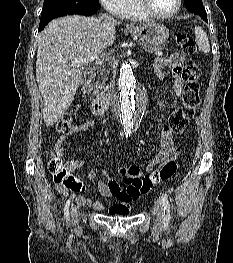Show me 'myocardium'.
Instances as JSON below:
<instances>
[{
	"instance_id": "1",
	"label": "myocardium",
	"mask_w": 233,
	"mask_h": 263,
	"mask_svg": "<svg viewBox=\"0 0 233 263\" xmlns=\"http://www.w3.org/2000/svg\"><path fill=\"white\" fill-rule=\"evenodd\" d=\"M137 6L148 16L156 19H166V18H171L174 15H176L182 5V0H176V6L175 8L168 13H158L155 12L150 5L148 4L147 0H136Z\"/></svg>"
}]
</instances>
